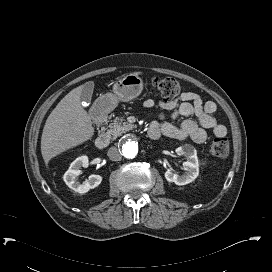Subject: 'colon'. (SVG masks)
Here are the masks:
<instances>
[{
    "label": "colon",
    "mask_w": 272,
    "mask_h": 272,
    "mask_svg": "<svg viewBox=\"0 0 272 272\" xmlns=\"http://www.w3.org/2000/svg\"><path fill=\"white\" fill-rule=\"evenodd\" d=\"M156 95L164 102H171L182 92L181 85L170 77H155L148 82ZM229 141L226 137H216L210 143V153L214 157L223 158L229 153Z\"/></svg>",
    "instance_id": "1"
}]
</instances>
